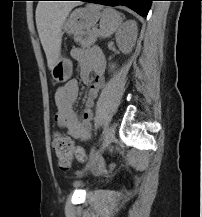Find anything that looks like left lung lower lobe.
Returning <instances> with one entry per match:
<instances>
[{"instance_id": "1", "label": "left lung lower lobe", "mask_w": 202, "mask_h": 217, "mask_svg": "<svg viewBox=\"0 0 202 217\" xmlns=\"http://www.w3.org/2000/svg\"><path fill=\"white\" fill-rule=\"evenodd\" d=\"M90 3L103 4L107 6L123 5L137 12L141 16H146L153 0H77Z\"/></svg>"}]
</instances>
